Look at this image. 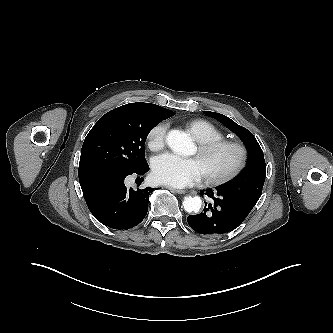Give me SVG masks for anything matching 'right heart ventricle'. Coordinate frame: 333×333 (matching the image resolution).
I'll return each instance as SVG.
<instances>
[{
  "mask_svg": "<svg viewBox=\"0 0 333 333\" xmlns=\"http://www.w3.org/2000/svg\"><path fill=\"white\" fill-rule=\"evenodd\" d=\"M186 127L198 143L217 141L224 138L223 132L216 125L204 119L191 120Z\"/></svg>",
  "mask_w": 333,
  "mask_h": 333,
  "instance_id": "obj_1",
  "label": "right heart ventricle"
}]
</instances>
